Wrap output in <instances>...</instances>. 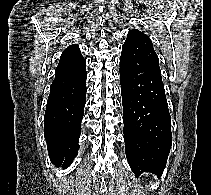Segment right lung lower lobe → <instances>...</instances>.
Instances as JSON below:
<instances>
[{"label":"right lung lower lobe","mask_w":211,"mask_h":195,"mask_svg":"<svg viewBox=\"0 0 211 195\" xmlns=\"http://www.w3.org/2000/svg\"><path fill=\"white\" fill-rule=\"evenodd\" d=\"M86 65V64H85ZM85 65L68 73L55 75L44 118V134L50 160L67 168L79 149L81 120L85 106Z\"/></svg>","instance_id":"98d812e1"}]
</instances>
